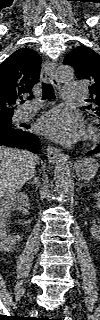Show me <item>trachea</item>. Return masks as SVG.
Masks as SVG:
<instances>
[{"label":"trachea","mask_w":100,"mask_h":320,"mask_svg":"<svg viewBox=\"0 0 100 320\" xmlns=\"http://www.w3.org/2000/svg\"><path fill=\"white\" fill-rule=\"evenodd\" d=\"M42 99H54L55 94H54V89L50 83H42Z\"/></svg>","instance_id":"3493384b"}]
</instances>
